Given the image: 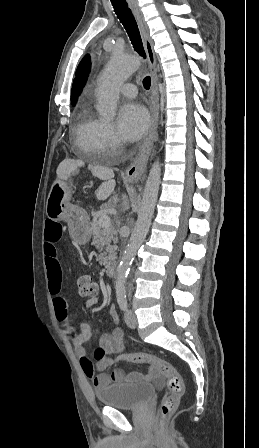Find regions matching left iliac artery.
<instances>
[{
	"label": "left iliac artery",
	"mask_w": 259,
	"mask_h": 448,
	"mask_svg": "<svg viewBox=\"0 0 259 448\" xmlns=\"http://www.w3.org/2000/svg\"><path fill=\"white\" fill-rule=\"evenodd\" d=\"M116 297L117 302L119 304V307L121 310L127 309V297H126V287L124 283H117L116 284Z\"/></svg>",
	"instance_id": "left-iliac-artery-1"
}]
</instances>
